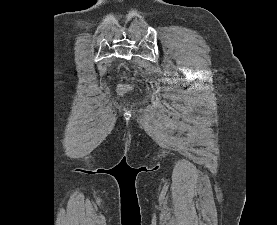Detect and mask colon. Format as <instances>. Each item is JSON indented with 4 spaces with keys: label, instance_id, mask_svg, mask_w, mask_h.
Returning a JSON list of instances; mask_svg holds the SVG:
<instances>
[{
    "label": "colon",
    "instance_id": "1",
    "mask_svg": "<svg viewBox=\"0 0 277 225\" xmlns=\"http://www.w3.org/2000/svg\"><path fill=\"white\" fill-rule=\"evenodd\" d=\"M132 90V88L128 85H122L118 88V92L120 94H125V93H128Z\"/></svg>",
    "mask_w": 277,
    "mask_h": 225
}]
</instances>
